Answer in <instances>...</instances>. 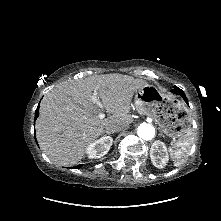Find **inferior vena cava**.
Returning <instances> with one entry per match:
<instances>
[{
  "label": "inferior vena cava",
  "mask_w": 221,
  "mask_h": 221,
  "mask_svg": "<svg viewBox=\"0 0 221 221\" xmlns=\"http://www.w3.org/2000/svg\"><path fill=\"white\" fill-rule=\"evenodd\" d=\"M127 126L126 125H122V124H110L108 125L105 129L108 132H118L121 131L123 129H126Z\"/></svg>",
  "instance_id": "1"
}]
</instances>
